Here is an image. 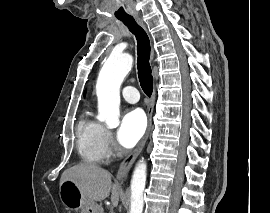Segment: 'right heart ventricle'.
I'll return each instance as SVG.
<instances>
[{
  "mask_svg": "<svg viewBox=\"0 0 270 213\" xmlns=\"http://www.w3.org/2000/svg\"><path fill=\"white\" fill-rule=\"evenodd\" d=\"M76 135L77 152L83 161L100 164L110 156L106 128L93 118L89 109L80 117Z\"/></svg>",
  "mask_w": 270,
  "mask_h": 213,
  "instance_id": "obj_1",
  "label": "right heart ventricle"
}]
</instances>
